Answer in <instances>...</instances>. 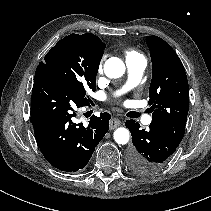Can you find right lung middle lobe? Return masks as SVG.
Masks as SVG:
<instances>
[{
  "label": "right lung middle lobe",
  "instance_id": "right-lung-middle-lobe-1",
  "mask_svg": "<svg viewBox=\"0 0 211 211\" xmlns=\"http://www.w3.org/2000/svg\"><path fill=\"white\" fill-rule=\"evenodd\" d=\"M102 53L80 35L71 34L49 50L36 69L78 90L88 100L87 92L96 90V75Z\"/></svg>",
  "mask_w": 211,
  "mask_h": 211
}]
</instances>
